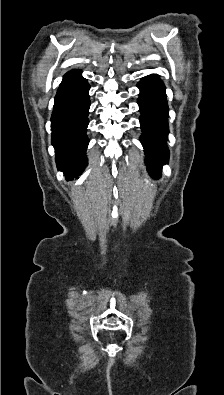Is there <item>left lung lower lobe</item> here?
I'll return each mask as SVG.
<instances>
[{
  "instance_id": "1",
  "label": "left lung lower lobe",
  "mask_w": 224,
  "mask_h": 395,
  "mask_svg": "<svg viewBox=\"0 0 224 395\" xmlns=\"http://www.w3.org/2000/svg\"><path fill=\"white\" fill-rule=\"evenodd\" d=\"M138 104L141 112V143L146 152V164L155 178L161 175L160 167L168 162L169 151L166 145L168 134V106L165 86L157 75H149L139 83Z\"/></svg>"
}]
</instances>
